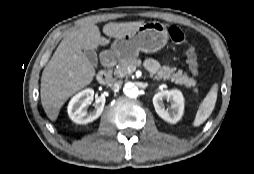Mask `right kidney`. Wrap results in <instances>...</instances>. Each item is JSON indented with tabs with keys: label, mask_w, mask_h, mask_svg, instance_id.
<instances>
[{
	"label": "right kidney",
	"mask_w": 254,
	"mask_h": 174,
	"mask_svg": "<svg viewBox=\"0 0 254 174\" xmlns=\"http://www.w3.org/2000/svg\"><path fill=\"white\" fill-rule=\"evenodd\" d=\"M94 90L87 88L76 94L68 104V115L76 124H87L96 120L103 112L105 97L100 96L95 101V110L87 112L88 105L91 104Z\"/></svg>",
	"instance_id": "ca27d5eb"
}]
</instances>
